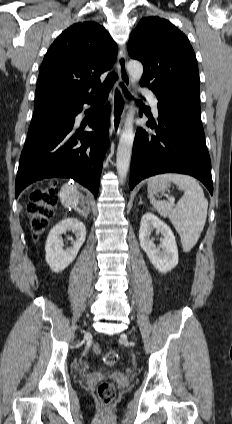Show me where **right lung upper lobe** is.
Masks as SVG:
<instances>
[{"instance_id": "obj_1", "label": "right lung upper lobe", "mask_w": 232, "mask_h": 424, "mask_svg": "<svg viewBox=\"0 0 232 424\" xmlns=\"http://www.w3.org/2000/svg\"><path fill=\"white\" fill-rule=\"evenodd\" d=\"M117 45L94 22L76 23L62 32L46 53L38 76L35 109L52 104H80L92 100L90 86L101 83L110 69Z\"/></svg>"}]
</instances>
